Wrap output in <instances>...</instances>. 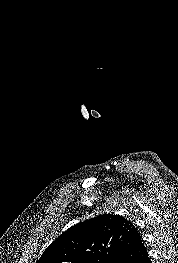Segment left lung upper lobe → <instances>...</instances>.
Here are the masks:
<instances>
[{"mask_svg": "<svg viewBox=\"0 0 178 263\" xmlns=\"http://www.w3.org/2000/svg\"><path fill=\"white\" fill-rule=\"evenodd\" d=\"M132 226L114 214L78 223L55 239L36 263H110Z\"/></svg>", "mask_w": 178, "mask_h": 263, "instance_id": "left-lung-upper-lobe-1", "label": "left lung upper lobe"}]
</instances>
